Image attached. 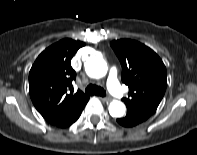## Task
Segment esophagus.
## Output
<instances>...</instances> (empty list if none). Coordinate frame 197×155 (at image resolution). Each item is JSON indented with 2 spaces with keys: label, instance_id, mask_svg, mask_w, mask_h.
<instances>
[{
  "label": "esophagus",
  "instance_id": "34e87169",
  "mask_svg": "<svg viewBox=\"0 0 197 155\" xmlns=\"http://www.w3.org/2000/svg\"><path fill=\"white\" fill-rule=\"evenodd\" d=\"M103 102H109L111 99L106 97H100Z\"/></svg>",
  "mask_w": 197,
  "mask_h": 155
}]
</instances>
